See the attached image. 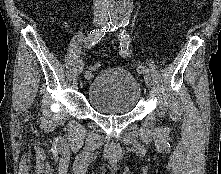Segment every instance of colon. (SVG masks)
Returning a JSON list of instances; mask_svg holds the SVG:
<instances>
[{"label": "colon", "mask_w": 221, "mask_h": 174, "mask_svg": "<svg viewBox=\"0 0 221 174\" xmlns=\"http://www.w3.org/2000/svg\"><path fill=\"white\" fill-rule=\"evenodd\" d=\"M100 67H101V64L99 62H95L90 66V69L94 71V70H98Z\"/></svg>", "instance_id": "1"}]
</instances>
